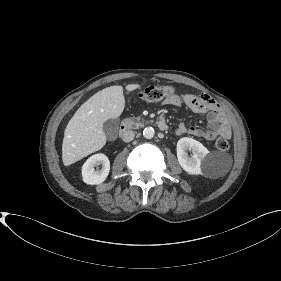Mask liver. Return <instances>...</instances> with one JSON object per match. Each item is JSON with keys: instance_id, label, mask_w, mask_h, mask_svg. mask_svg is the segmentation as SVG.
Listing matches in <instances>:
<instances>
[{"instance_id": "6515ba94", "label": "liver", "mask_w": 281, "mask_h": 281, "mask_svg": "<svg viewBox=\"0 0 281 281\" xmlns=\"http://www.w3.org/2000/svg\"><path fill=\"white\" fill-rule=\"evenodd\" d=\"M140 88L139 84H128L127 91ZM125 107L123 88L119 85L107 87L91 96L75 112L68 122L62 144V161L69 166L100 150L106 144L103 124L118 118Z\"/></svg>"}]
</instances>
